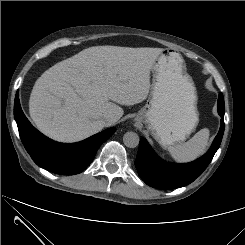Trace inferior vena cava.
<instances>
[{"label": "inferior vena cava", "mask_w": 245, "mask_h": 245, "mask_svg": "<svg viewBox=\"0 0 245 245\" xmlns=\"http://www.w3.org/2000/svg\"><path fill=\"white\" fill-rule=\"evenodd\" d=\"M105 121L107 123H109V124H114V123H116L118 121V119L115 116H113V115H107L105 117Z\"/></svg>", "instance_id": "inferior-vena-cava-1"}]
</instances>
